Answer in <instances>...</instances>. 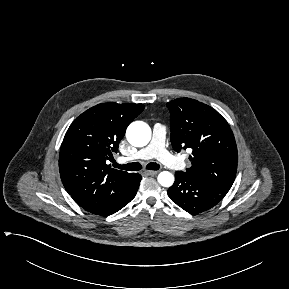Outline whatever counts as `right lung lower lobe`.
Instances as JSON below:
<instances>
[{
    "label": "right lung lower lobe",
    "mask_w": 289,
    "mask_h": 289,
    "mask_svg": "<svg viewBox=\"0 0 289 289\" xmlns=\"http://www.w3.org/2000/svg\"><path fill=\"white\" fill-rule=\"evenodd\" d=\"M142 177L138 173H133L132 183L128 191L121 197H119L115 202H113L109 207L104 209L101 213L97 215L101 216H109L114 214L115 212L119 211L123 208L126 204H128L136 195L137 190L139 188V183Z\"/></svg>",
    "instance_id": "right-lung-lower-lobe-1"
}]
</instances>
